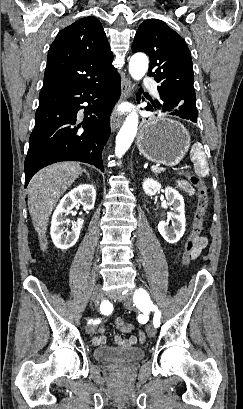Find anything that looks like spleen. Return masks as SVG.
Here are the masks:
<instances>
[{"mask_svg":"<svg viewBox=\"0 0 243 409\" xmlns=\"http://www.w3.org/2000/svg\"><path fill=\"white\" fill-rule=\"evenodd\" d=\"M191 160L194 163L195 173L200 177H205L209 172L208 162L206 160L203 146L196 142L191 148Z\"/></svg>","mask_w":243,"mask_h":409,"instance_id":"3e777b00","label":"spleen"}]
</instances>
